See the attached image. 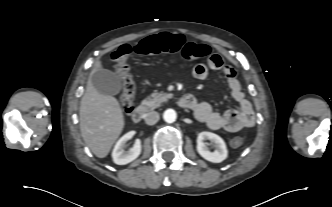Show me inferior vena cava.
Here are the masks:
<instances>
[{
	"label": "inferior vena cava",
	"instance_id": "obj_1",
	"mask_svg": "<svg viewBox=\"0 0 332 207\" xmlns=\"http://www.w3.org/2000/svg\"><path fill=\"white\" fill-rule=\"evenodd\" d=\"M159 120V113L156 111H151L146 114L145 122L148 125H154Z\"/></svg>",
	"mask_w": 332,
	"mask_h": 207
}]
</instances>
